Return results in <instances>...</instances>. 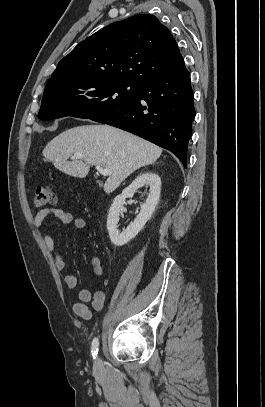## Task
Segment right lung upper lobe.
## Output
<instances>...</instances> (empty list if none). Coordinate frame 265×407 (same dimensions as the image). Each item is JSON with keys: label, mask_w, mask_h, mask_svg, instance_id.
I'll list each match as a JSON object with an SVG mask.
<instances>
[{"label": "right lung upper lobe", "mask_w": 265, "mask_h": 407, "mask_svg": "<svg viewBox=\"0 0 265 407\" xmlns=\"http://www.w3.org/2000/svg\"><path fill=\"white\" fill-rule=\"evenodd\" d=\"M180 56L167 27L153 15H136L79 43L60 60L48 82L101 78L142 85L170 70Z\"/></svg>", "instance_id": "right-lung-upper-lobe-1"}]
</instances>
